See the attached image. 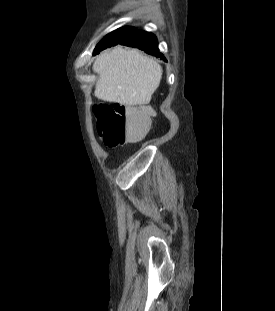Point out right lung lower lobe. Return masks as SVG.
Instances as JSON below:
<instances>
[{
    "label": "right lung lower lobe",
    "mask_w": 275,
    "mask_h": 311,
    "mask_svg": "<svg viewBox=\"0 0 275 311\" xmlns=\"http://www.w3.org/2000/svg\"><path fill=\"white\" fill-rule=\"evenodd\" d=\"M120 44L141 49L156 58L166 61L164 55L159 52L156 36L150 32L137 30Z\"/></svg>",
    "instance_id": "right-lung-lower-lobe-1"
}]
</instances>
